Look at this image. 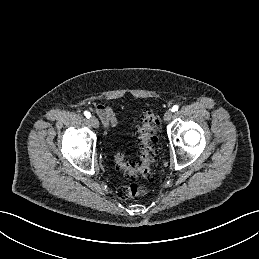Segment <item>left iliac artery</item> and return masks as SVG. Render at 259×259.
I'll return each instance as SVG.
<instances>
[{"label": "left iliac artery", "instance_id": "44dca946", "mask_svg": "<svg viewBox=\"0 0 259 259\" xmlns=\"http://www.w3.org/2000/svg\"><path fill=\"white\" fill-rule=\"evenodd\" d=\"M178 109H179V106H178V105H174V106L172 107L171 111H172V112H176V111H178Z\"/></svg>", "mask_w": 259, "mask_h": 259}]
</instances>
